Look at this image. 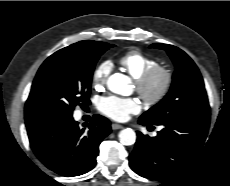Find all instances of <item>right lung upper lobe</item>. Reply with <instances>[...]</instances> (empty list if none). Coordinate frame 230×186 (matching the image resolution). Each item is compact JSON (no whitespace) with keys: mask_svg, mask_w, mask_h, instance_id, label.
<instances>
[{"mask_svg":"<svg viewBox=\"0 0 230 186\" xmlns=\"http://www.w3.org/2000/svg\"><path fill=\"white\" fill-rule=\"evenodd\" d=\"M83 43H84V41H80V42L72 44V45H81ZM38 117H39L38 115L32 113L28 108H25V119H26V121L31 120V119H35Z\"/></svg>","mask_w":230,"mask_h":186,"instance_id":"cb5924a9","label":"right lung upper lobe"}]
</instances>
